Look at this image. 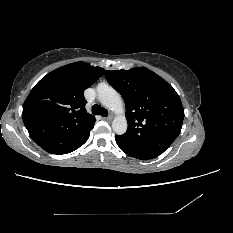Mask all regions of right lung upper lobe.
<instances>
[{"label":"right lung upper lobe","mask_w":233,"mask_h":233,"mask_svg":"<svg viewBox=\"0 0 233 233\" xmlns=\"http://www.w3.org/2000/svg\"><path fill=\"white\" fill-rule=\"evenodd\" d=\"M105 70L85 62L62 66L44 76L23 105L31 138L51 154H67L89 138L95 118L84 108V90Z\"/></svg>","instance_id":"obj_1"}]
</instances>
